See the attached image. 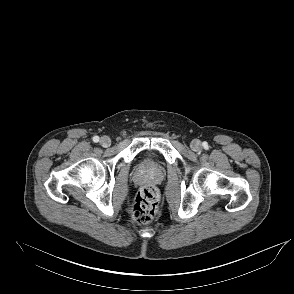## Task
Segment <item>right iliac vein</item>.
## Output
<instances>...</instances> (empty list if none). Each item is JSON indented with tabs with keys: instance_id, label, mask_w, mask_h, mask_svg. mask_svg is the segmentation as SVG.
Masks as SVG:
<instances>
[{
	"instance_id": "obj_1",
	"label": "right iliac vein",
	"mask_w": 294,
	"mask_h": 294,
	"mask_svg": "<svg viewBox=\"0 0 294 294\" xmlns=\"http://www.w3.org/2000/svg\"><path fill=\"white\" fill-rule=\"evenodd\" d=\"M100 144L103 146V147H109L110 144H111V139L108 137V136H102L100 138Z\"/></svg>"
}]
</instances>
